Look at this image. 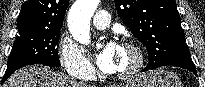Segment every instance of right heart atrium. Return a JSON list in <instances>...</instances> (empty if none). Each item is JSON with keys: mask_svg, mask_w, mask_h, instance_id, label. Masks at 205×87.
I'll use <instances>...</instances> for the list:
<instances>
[{"mask_svg": "<svg viewBox=\"0 0 205 87\" xmlns=\"http://www.w3.org/2000/svg\"><path fill=\"white\" fill-rule=\"evenodd\" d=\"M58 54L64 70L70 77L89 79L94 75L95 71L90 60L70 37H61Z\"/></svg>", "mask_w": 205, "mask_h": 87, "instance_id": "obj_1", "label": "right heart atrium"}]
</instances>
